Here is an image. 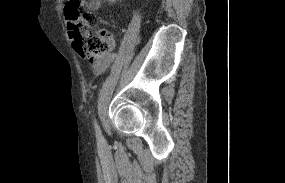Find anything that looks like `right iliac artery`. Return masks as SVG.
I'll use <instances>...</instances> for the list:
<instances>
[{
  "mask_svg": "<svg viewBox=\"0 0 285 183\" xmlns=\"http://www.w3.org/2000/svg\"><path fill=\"white\" fill-rule=\"evenodd\" d=\"M95 129H96V137H97L98 141L103 142V141H104V138H103V136H102V134H101V131H100V128H99V126L96 124V122H95Z\"/></svg>",
  "mask_w": 285,
  "mask_h": 183,
  "instance_id": "82829eb1",
  "label": "right iliac artery"
}]
</instances>
